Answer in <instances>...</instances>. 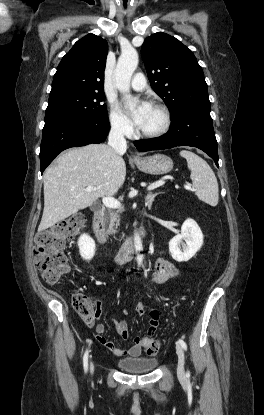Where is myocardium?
<instances>
[{"mask_svg":"<svg viewBox=\"0 0 264 415\" xmlns=\"http://www.w3.org/2000/svg\"><path fill=\"white\" fill-rule=\"evenodd\" d=\"M151 106L159 109L160 112L162 113V117H163L162 125L157 130L152 131V132H142L140 130H137L136 135L138 137L158 138L162 136L163 134H165L171 126L172 116H171V113L168 107L161 102H153Z\"/></svg>","mask_w":264,"mask_h":415,"instance_id":"myocardium-1","label":"myocardium"}]
</instances>
